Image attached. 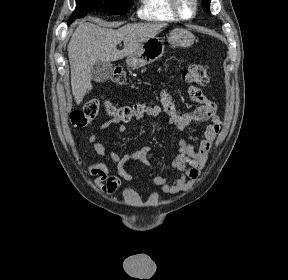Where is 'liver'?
Here are the masks:
<instances>
[{"instance_id": "liver-1", "label": "liver", "mask_w": 288, "mask_h": 280, "mask_svg": "<svg viewBox=\"0 0 288 280\" xmlns=\"http://www.w3.org/2000/svg\"><path fill=\"white\" fill-rule=\"evenodd\" d=\"M166 26L165 23H131L115 30L91 23L79 24L68 44L71 86L76 103L80 104L92 90L91 69L97 61L111 62L130 56ZM122 41L123 49L117 50Z\"/></svg>"}]
</instances>
